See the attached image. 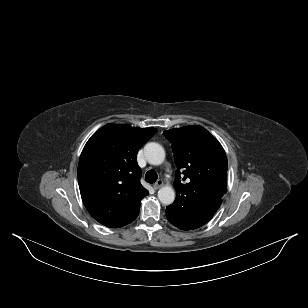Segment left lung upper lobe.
Listing matches in <instances>:
<instances>
[{"mask_svg":"<svg viewBox=\"0 0 308 308\" xmlns=\"http://www.w3.org/2000/svg\"><path fill=\"white\" fill-rule=\"evenodd\" d=\"M172 143L178 168L176 199L168 206L187 213L220 201L227 192L228 162L219 141L201 126L164 131Z\"/></svg>","mask_w":308,"mask_h":308,"instance_id":"1","label":"left lung upper lobe"}]
</instances>
